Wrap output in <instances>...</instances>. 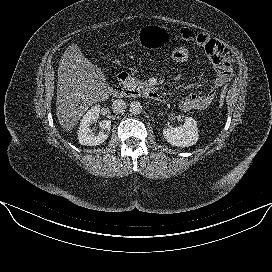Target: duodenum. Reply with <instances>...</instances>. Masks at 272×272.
<instances>
[{
	"label": "duodenum",
	"instance_id": "1",
	"mask_svg": "<svg viewBox=\"0 0 272 272\" xmlns=\"http://www.w3.org/2000/svg\"><path fill=\"white\" fill-rule=\"evenodd\" d=\"M130 78L129 74L126 72H120L117 75V84H115L111 88V92L113 95L118 96V97H123V96H142L148 99H151L153 101L157 102H165V97L156 91L152 86H145L139 89L138 91H130L126 89L123 84L128 81Z\"/></svg>",
	"mask_w": 272,
	"mask_h": 272
}]
</instances>
